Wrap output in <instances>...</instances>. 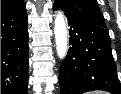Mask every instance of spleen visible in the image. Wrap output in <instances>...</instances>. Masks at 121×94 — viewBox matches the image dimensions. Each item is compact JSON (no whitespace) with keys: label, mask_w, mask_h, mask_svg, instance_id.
<instances>
[{"label":"spleen","mask_w":121,"mask_h":94,"mask_svg":"<svg viewBox=\"0 0 121 94\" xmlns=\"http://www.w3.org/2000/svg\"><path fill=\"white\" fill-rule=\"evenodd\" d=\"M93 94H102L101 92H95V93H93Z\"/></svg>","instance_id":"spleen-1"}]
</instances>
